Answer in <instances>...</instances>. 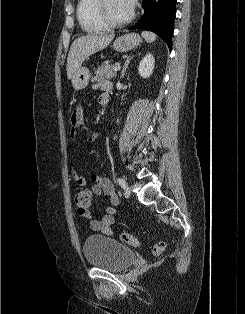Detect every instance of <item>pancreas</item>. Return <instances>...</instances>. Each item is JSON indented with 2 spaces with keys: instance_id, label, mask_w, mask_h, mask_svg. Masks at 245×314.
Here are the masks:
<instances>
[{
  "instance_id": "1",
  "label": "pancreas",
  "mask_w": 245,
  "mask_h": 314,
  "mask_svg": "<svg viewBox=\"0 0 245 314\" xmlns=\"http://www.w3.org/2000/svg\"><path fill=\"white\" fill-rule=\"evenodd\" d=\"M115 67V64H105L98 67L95 71V76L92 77L91 81L100 83L113 79L117 75V72L113 71Z\"/></svg>"
}]
</instances>
